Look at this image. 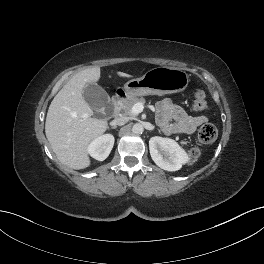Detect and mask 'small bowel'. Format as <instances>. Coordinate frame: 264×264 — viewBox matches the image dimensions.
I'll use <instances>...</instances> for the list:
<instances>
[{"label": "small bowel", "mask_w": 264, "mask_h": 264, "mask_svg": "<svg viewBox=\"0 0 264 264\" xmlns=\"http://www.w3.org/2000/svg\"><path fill=\"white\" fill-rule=\"evenodd\" d=\"M157 122L166 134H193L207 122L205 116H191L170 99H164L156 107Z\"/></svg>", "instance_id": "1"}]
</instances>
